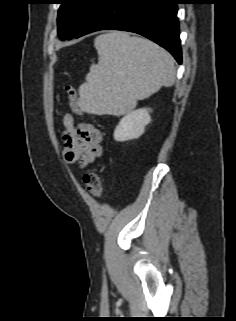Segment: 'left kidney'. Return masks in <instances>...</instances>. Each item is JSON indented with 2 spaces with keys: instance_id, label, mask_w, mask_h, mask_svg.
Returning a JSON list of instances; mask_svg holds the SVG:
<instances>
[{
  "instance_id": "left-kidney-1",
  "label": "left kidney",
  "mask_w": 236,
  "mask_h": 321,
  "mask_svg": "<svg viewBox=\"0 0 236 321\" xmlns=\"http://www.w3.org/2000/svg\"><path fill=\"white\" fill-rule=\"evenodd\" d=\"M151 109L141 108L125 115L114 131L116 141H127L139 138L145 126L151 121L149 112Z\"/></svg>"
}]
</instances>
